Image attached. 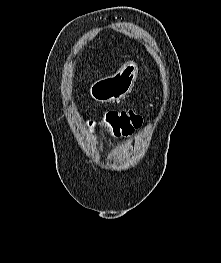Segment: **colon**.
Instances as JSON below:
<instances>
[{
    "instance_id": "5ec220e1",
    "label": "colon",
    "mask_w": 221,
    "mask_h": 263,
    "mask_svg": "<svg viewBox=\"0 0 221 263\" xmlns=\"http://www.w3.org/2000/svg\"><path fill=\"white\" fill-rule=\"evenodd\" d=\"M103 123L109 128V133L114 136H126L137 129L142 123V114L133 109L110 110L105 113ZM97 124L94 121L88 123L91 131Z\"/></svg>"
}]
</instances>
